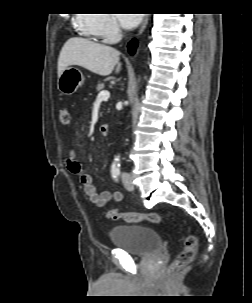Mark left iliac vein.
Wrapping results in <instances>:
<instances>
[{"label":"left iliac vein","instance_id":"4c4485c4","mask_svg":"<svg viewBox=\"0 0 252 303\" xmlns=\"http://www.w3.org/2000/svg\"><path fill=\"white\" fill-rule=\"evenodd\" d=\"M122 182H123L124 187L127 190H133L134 189V185L131 181V177H130L129 174H123L122 175Z\"/></svg>","mask_w":252,"mask_h":303}]
</instances>
